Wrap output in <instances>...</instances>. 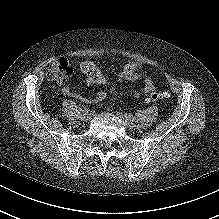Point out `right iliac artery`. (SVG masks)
I'll return each instance as SVG.
<instances>
[{"label": "right iliac artery", "mask_w": 219, "mask_h": 219, "mask_svg": "<svg viewBox=\"0 0 219 219\" xmlns=\"http://www.w3.org/2000/svg\"><path fill=\"white\" fill-rule=\"evenodd\" d=\"M82 111H83V113H88L89 109L85 107Z\"/></svg>", "instance_id": "82829eb1"}]
</instances>
